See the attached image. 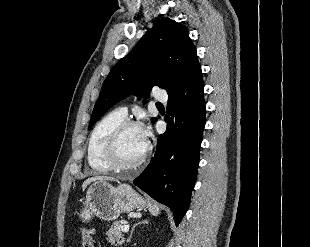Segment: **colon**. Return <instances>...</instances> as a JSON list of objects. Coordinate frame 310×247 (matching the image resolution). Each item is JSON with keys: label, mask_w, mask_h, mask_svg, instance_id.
Returning a JSON list of instances; mask_svg holds the SVG:
<instances>
[{"label": "colon", "mask_w": 310, "mask_h": 247, "mask_svg": "<svg viewBox=\"0 0 310 247\" xmlns=\"http://www.w3.org/2000/svg\"><path fill=\"white\" fill-rule=\"evenodd\" d=\"M82 242L80 247H95L93 241V232L91 229L84 228L82 229Z\"/></svg>", "instance_id": "colon-1"}]
</instances>
